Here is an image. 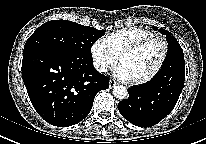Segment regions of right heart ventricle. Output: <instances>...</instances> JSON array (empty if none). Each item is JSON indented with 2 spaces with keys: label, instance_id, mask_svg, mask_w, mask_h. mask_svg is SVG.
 <instances>
[{
  "label": "right heart ventricle",
  "instance_id": "1",
  "mask_svg": "<svg viewBox=\"0 0 206 144\" xmlns=\"http://www.w3.org/2000/svg\"><path fill=\"white\" fill-rule=\"evenodd\" d=\"M152 35L154 34L149 30L137 27H129L119 29L110 33L105 38V40L108 43L111 50L117 56H119L121 51L127 46Z\"/></svg>",
  "mask_w": 206,
  "mask_h": 144
}]
</instances>
